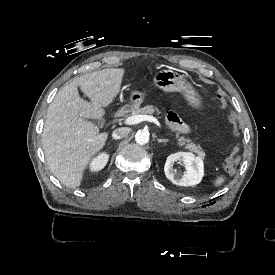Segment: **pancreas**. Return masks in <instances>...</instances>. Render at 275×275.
Wrapping results in <instances>:
<instances>
[{"label":"pancreas","instance_id":"obj_1","mask_svg":"<svg viewBox=\"0 0 275 275\" xmlns=\"http://www.w3.org/2000/svg\"><path fill=\"white\" fill-rule=\"evenodd\" d=\"M155 111L158 114L161 113L158 108H156V107L154 108V106H152V105H147L143 108L132 109L130 114L126 113L122 109L119 110L116 114L119 117H126V116H134V115H139V114H153ZM175 136H176V138H178L179 146H184L185 149H188L191 152L196 153L198 155V157H200L201 159H204L205 152L202 150L200 145H196L189 138H185L183 136L180 137L179 133H176Z\"/></svg>","mask_w":275,"mask_h":275}]
</instances>
